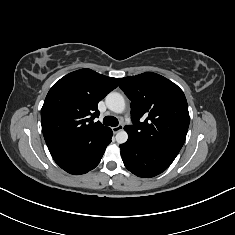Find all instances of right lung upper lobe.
Instances as JSON below:
<instances>
[{"label": "right lung upper lobe", "instance_id": "right-lung-upper-lobe-1", "mask_svg": "<svg viewBox=\"0 0 235 235\" xmlns=\"http://www.w3.org/2000/svg\"><path fill=\"white\" fill-rule=\"evenodd\" d=\"M118 86L117 79L81 69L69 73L49 90L41 109L43 135L53 158L103 138L109 127L93 119L98 102Z\"/></svg>", "mask_w": 235, "mask_h": 235}]
</instances>
